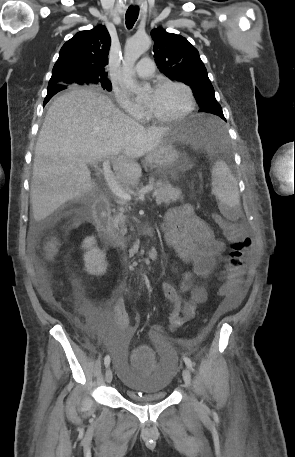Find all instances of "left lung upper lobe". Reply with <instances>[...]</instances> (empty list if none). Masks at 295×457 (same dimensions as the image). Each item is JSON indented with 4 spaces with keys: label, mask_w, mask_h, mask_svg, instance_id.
<instances>
[{
    "label": "left lung upper lobe",
    "mask_w": 295,
    "mask_h": 457,
    "mask_svg": "<svg viewBox=\"0 0 295 457\" xmlns=\"http://www.w3.org/2000/svg\"><path fill=\"white\" fill-rule=\"evenodd\" d=\"M154 57L160 71L171 80L190 86L201 111L224 118L216 101L214 88L198 50L181 35L168 33L162 28L153 29Z\"/></svg>",
    "instance_id": "5c2ea615"
}]
</instances>
